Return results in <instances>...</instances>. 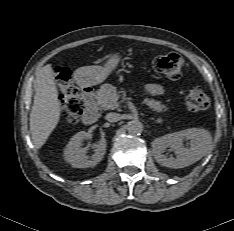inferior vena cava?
<instances>
[{
  "label": "inferior vena cava",
  "instance_id": "1",
  "mask_svg": "<svg viewBox=\"0 0 234 231\" xmlns=\"http://www.w3.org/2000/svg\"><path fill=\"white\" fill-rule=\"evenodd\" d=\"M105 118L109 122H117L121 119L120 114L114 112L108 113Z\"/></svg>",
  "mask_w": 234,
  "mask_h": 231
}]
</instances>
